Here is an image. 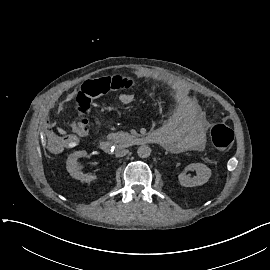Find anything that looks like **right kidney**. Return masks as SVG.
<instances>
[{
	"mask_svg": "<svg viewBox=\"0 0 270 270\" xmlns=\"http://www.w3.org/2000/svg\"><path fill=\"white\" fill-rule=\"evenodd\" d=\"M87 152L86 151H76L72 154H70L66 161V168L69 174L78 180L84 181V182H91L92 180L96 179V176L90 175V174H83L80 169L81 166L77 164V159L80 157H86Z\"/></svg>",
	"mask_w": 270,
	"mask_h": 270,
	"instance_id": "obj_1",
	"label": "right kidney"
}]
</instances>
